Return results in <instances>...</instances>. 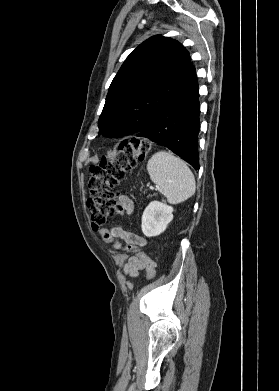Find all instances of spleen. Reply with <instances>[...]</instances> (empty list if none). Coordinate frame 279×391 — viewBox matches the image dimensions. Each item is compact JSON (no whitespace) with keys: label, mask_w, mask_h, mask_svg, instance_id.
I'll list each match as a JSON object with an SVG mask.
<instances>
[{"label":"spleen","mask_w":279,"mask_h":391,"mask_svg":"<svg viewBox=\"0 0 279 391\" xmlns=\"http://www.w3.org/2000/svg\"><path fill=\"white\" fill-rule=\"evenodd\" d=\"M147 171L171 204L184 202L195 193L196 182L192 171L171 152H156L147 163Z\"/></svg>","instance_id":"spleen-1"}]
</instances>
